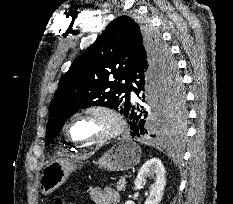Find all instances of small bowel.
Listing matches in <instances>:
<instances>
[{
  "mask_svg": "<svg viewBox=\"0 0 233 204\" xmlns=\"http://www.w3.org/2000/svg\"><path fill=\"white\" fill-rule=\"evenodd\" d=\"M89 196L94 204H118L120 200L119 193L111 187L92 188L89 191Z\"/></svg>",
  "mask_w": 233,
  "mask_h": 204,
  "instance_id": "small-bowel-1",
  "label": "small bowel"
}]
</instances>
